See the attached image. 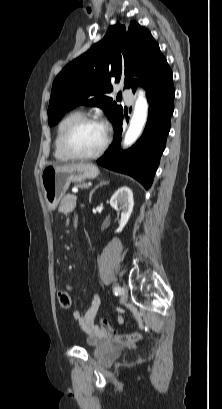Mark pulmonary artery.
I'll return each mask as SVG.
<instances>
[{
  "label": "pulmonary artery",
  "mask_w": 222,
  "mask_h": 409,
  "mask_svg": "<svg viewBox=\"0 0 222 409\" xmlns=\"http://www.w3.org/2000/svg\"><path fill=\"white\" fill-rule=\"evenodd\" d=\"M123 95L125 96L127 102H132L133 101V96L131 95L130 91L128 89L122 90Z\"/></svg>",
  "instance_id": "1"
}]
</instances>
